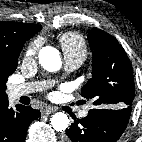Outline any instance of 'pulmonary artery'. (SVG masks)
Instances as JSON below:
<instances>
[{
  "label": "pulmonary artery",
  "mask_w": 142,
  "mask_h": 142,
  "mask_svg": "<svg viewBox=\"0 0 142 142\" xmlns=\"http://www.w3.org/2000/svg\"><path fill=\"white\" fill-rule=\"evenodd\" d=\"M83 60L76 57H65V70L67 73L73 72L77 70ZM47 85L46 82H36V83H26V84H20V85H14L11 86L9 89V97L12 100H15L23 95H27L29 93H32L34 91H37L39 89H42ZM80 117H86L87 116V110L83 109L79 113Z\"/></svg>",
  "instance_id": "pulmonary-artery-1"
}]
</instances>
